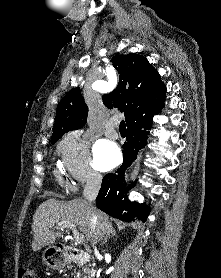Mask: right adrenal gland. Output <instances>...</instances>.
<instances>
[{
	"instance_id": "obj_1",
	"label": "right adrenal gland",
	"mask_w": 221,
	"mask_h": 278,
	"mask_svg": "<svg viewBox=\"0 0 221 278\" xmlns=\"http://www.w3.org/2000/svg\"><path fill=\"white\" fill-rule=\"evenodd\" d=\"M115 236H116V231L113 229L106 237H104L101 245H104L105 243H107L108 239L113 238Z\"/></svg>"
}]
</instances>
